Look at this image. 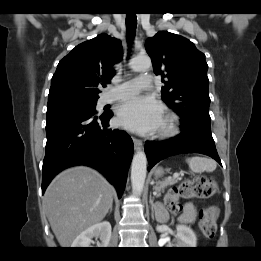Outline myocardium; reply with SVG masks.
<instances>
[{"label":"myocardium","mask_w":261,"mask_h":261,"mask_svg":"<svg viewBox=\"0 0 261 261\" xmlns=\"http://www.w3.org/2000/svg\"><path fill=\"white\" fill-rule=\"evenodd\" d=\"M179 120L175 114L168 113L164 118L163 126L161 127V135L165 137L173 136L178 131Z\"/></svg>","instance_id":"1"}]
</instances>
